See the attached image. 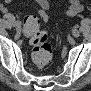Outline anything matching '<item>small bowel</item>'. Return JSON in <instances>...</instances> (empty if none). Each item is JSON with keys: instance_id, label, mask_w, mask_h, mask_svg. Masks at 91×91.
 Listing matches in <instances>:
<instances>
[{"instance_id": "c3829d8e", "label": "small bowel", "mask_w": 91, "mask_h": 91, "mask_svg": "<svg viewBox=\"0 0 91 91\" xmlns=\"http://www.w3.org/2000/svg\"><path fill=\"white\" fill-rule=\"evenodd\" d=\"M37 4L40 7L39 14L45 15L49 10V2L47 0H37ZM1 10L3 13L7 12V8L5 6H1ZM82 11V5L78 0H71L66 9V15L74 16Z\"/></svg>"}]
</instances>
